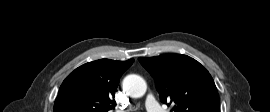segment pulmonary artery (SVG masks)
Returning <instances> with one entry per match:
<instances>
[{"label":"pulmonary artery","mask_w":270,"mask_h":112,"mask_svg":"<svg viewBox=\"0 0 270 112\" xmlns=\"http://www.w3.org/2000/svg\"><path fill=\"white\" fill-rule=\"evenodd\" d=\"M146 108L148 112H163L153 95H148L146 97Z\"/></svg>","instance_id":"pulmonary-artery-1"}]
</instances>
